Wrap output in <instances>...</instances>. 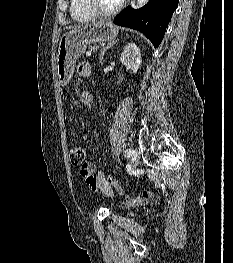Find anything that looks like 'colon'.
<instances>
[{
    "mask_svg": "<svg viewBox=\"0 0 233 263\" xmlns=\"http://www.w3.org/2000/svg\"><path fill=\"white\" fill-rule=\"evenodd\" d=\"M86 149L83 146L76 145L71 147L70 149V160L71 163L75 166H80L81 168H84L86 165ZM106 179V178H105ZM86 180L88 184L94 185L96 183V178L93 175L86 174ZM107 183L113 186H117V183L115 181H112L111 179H106ZM156 196L155 191H144L142 194L135 198H125V202L129 206H140L146 204L151 198H154Z\"/></svg>",
    "mask_w": 233,
    "mask_h": 263,
    "instance_id": "colon-1",
    "label": "colon"
}]
</instances>
